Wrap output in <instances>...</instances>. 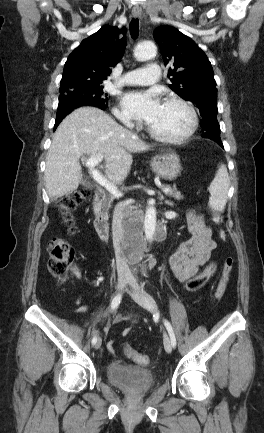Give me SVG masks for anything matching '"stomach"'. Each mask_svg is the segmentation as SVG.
Returning <instances> with one entry per match:
<instances>
[{
  "mask_svg": "<svg viewBox=\"0 0 264 433\" xmlns=\"http://www.w3.org/2000/svg\"><path fill=\"white\" fill-rule=\"evenodd\" d=\"M150 166L152 171L164 180L175 179L181 171L180 158L172 151L154 157Z\"/></svg>",
  "mask_w": 264,
  "mask_h": 433,
  "instance_id": "1",
  "label": "stomach"
}]
</instances>
